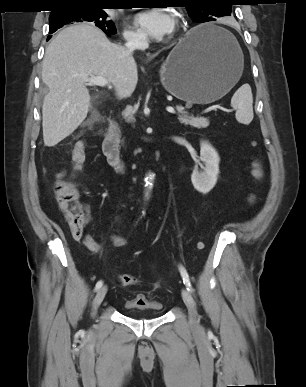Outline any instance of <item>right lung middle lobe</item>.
I'll return each instance as SVG.
<instances>
[{"label": "right lung middle lobe", "instance_id": "right-lung-middle-lobe-1", "mask_svg": "<svg viewBox=\"0 0 306 387\" xmlns=\"http://www.w3.org/2000/svg\"><path fill=\"white\" fill-rule=\"evenodd\" d=\"M107 17L108 14L100 6L79 5L60 8L58 11L50 14V33L69 23L88 21L101 28L107 35L115 34L116 28L114 23L108 20Z\"/></svg>", "mask_w": 306, "mask_h": 387}]
</instances>
